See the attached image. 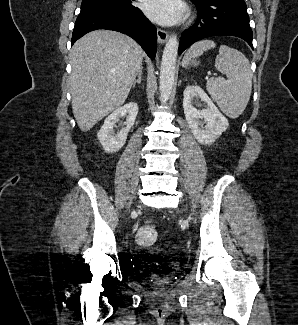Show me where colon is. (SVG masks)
<instances>
[{"label":"colon","instance_id":"1","mask_svg":"<svg viewBox=\"0 0 298 325\" xmlns=\"http://www.w3.org/2000/svg\"><path fill=\"white\" fill-rule=\"evenodd\" d=\"M157 230L152 224H145L136 233V242L140 246H151L157 240Z\"/></svg>","mask_w":298,"mask_h":325}]
</instances>
